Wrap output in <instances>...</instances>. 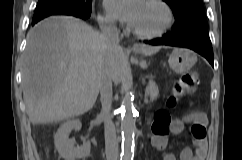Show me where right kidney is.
<instances>
[{"mask_svg":"<svg viewBox=\"0 0 242 160\" xmlns=\"http://www.w3.org/2000/svg\"><path fill=\"white\" fill-rule=\"evenodd\" d=\"M81 126L78 119L68 120L60 126L54 136L55 147L65 160L85 159L90 155L91 144L89 141L75 147L74 141L69 138L71 131L79 130Z\"/></svg>","mask_w":242,"mask_h":160,"instance_id":"right-kidney-1","label":"right kidney"}]
</instances>
